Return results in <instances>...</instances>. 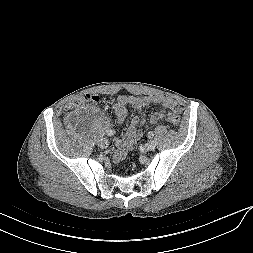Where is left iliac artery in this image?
<instances>
[{"mask_svg": "<svg viewBox=\"0 0 253 253\" xmlns=\"http://www.w3.org/2000/svg\"><path fill=\"white\" fill-rule=\"evenodd\" d=\"M147 136H148V138H153L154 133L152 131H150V132H148Z\"/></svg>", "mask_w": 253, "mask_h": 253, "instance_id": "44dca946", "label": "left iliac artery"}]
</instances>
